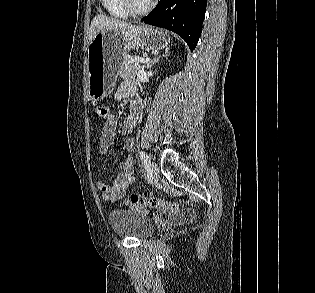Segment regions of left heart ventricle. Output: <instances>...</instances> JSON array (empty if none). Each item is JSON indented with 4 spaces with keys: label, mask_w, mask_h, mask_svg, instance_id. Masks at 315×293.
<instances>
[{
    "label": "left heart ventricle",
    "mask_w": 315,
    "mask_h": 293,
    "mask_svg": "<svg viewBox=\"0 0 315 293\" xmlns=\"http://www.w3.org/2000/svg\"><path fill=\"white\" fill-rule=\"evenodd\" d=\"M151 0H133V4L137 8H143L145 7Z\"/></svg>",
    "instance_id": "1"
}]
</instances>
